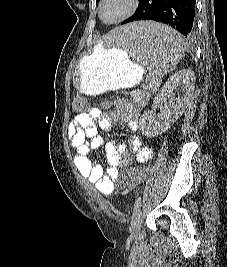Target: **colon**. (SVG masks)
<instances>
[{"mask_svg":"<svg viewBox=\"0 0 227 267\" xmlns=\"http://www.w3.org/2000/svg\"><path fill=\"white\" fill-rule=\"evenodd\" d=\"M86 106V101L83 97H77L73 101V110H71V115H78V113H83ZM114 105L104 104V109L114 108ZM120 190L125 192H136V187H131L129 181L126 178L121 179L120 181Z\"/></svg>","mask_w":227,"mask_h":267,"instance_id":"colon-1","label":"colon"}]
</instances>
